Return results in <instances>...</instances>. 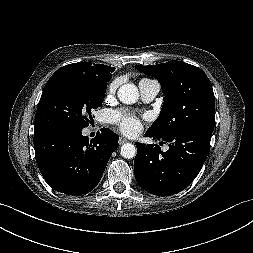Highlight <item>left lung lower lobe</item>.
Listing matches in <instances>:
<instances>
[{
	"label": "left lung lower lobe",
	"instance_id": "obj_1",
	"mask_svg": "<svg viewBox=\"0 0 253 253\" xmlns=\"http://www.w3.org/2000/svg\"><path fill=\"white\" fill-rule=\"evenodd\" d=\"M213 130L195 128L160 138L150 132L146 136L169 143V150L158 145L136 143L135 178L147 192L168 196L184 190L201 170L210 150Z\"/></svg>",
	"mask_w": 253,
	"mask_h": 253
}]
</instances>
